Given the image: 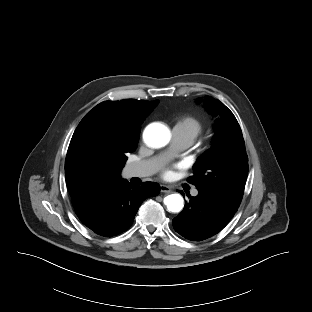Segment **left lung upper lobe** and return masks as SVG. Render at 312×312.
I'll list each match as a JSON object with an SVG mask.
<instances>
[{"label":"left lung upper lobe","mask_w":312,"mask_h":312,"mask_svg":"<svg viewBox=\"0 0 312 312\" xmlns=\"http://www.w3.org/2000/svg\"><path fill=\"white\" fill-rule=\"evenodd\" d=\"M210 113L217 114L216 135L211 149L193 167L187 181L198 190L225 197L239 207L248 175V158L240 126L233 113L218 99L206 97Z\"/></svg>","instance_id":"5c2ea615"}]
</instances>
